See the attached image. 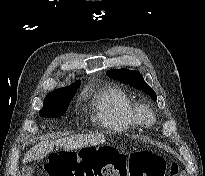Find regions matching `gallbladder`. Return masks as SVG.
I'll return each instance as SVG.
<instances>
[{
  "mask_svg": "<svg viewBox=\"0 0 205 176\" xmlns=\"http://www.w3.org/2000/svg\"><path fill=\"white\" fill-rule=\"evenodd\" d=\"M33 172L31 166H24L22 169V176H31L30 174Z\"/></svg>",
  "mask_w": 205,
  "mask_h": 176,
  "instance_id": "bac80fb5",
  "label": "gallbladder"
}]
</instances>
